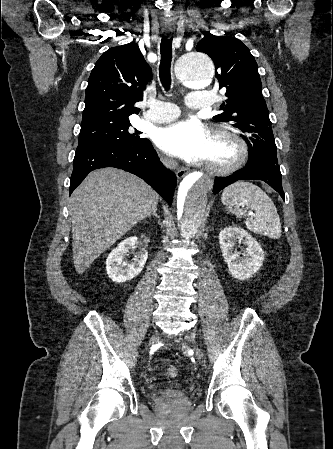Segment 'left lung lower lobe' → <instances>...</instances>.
<instances>
[{
    "instance_id": "obj_1",
    "label": "left lung lower lobe",
    "mask_w": 333,
    "mask_h": 449,
    "mask_svg": "<svg viewBox=\"0 0 333 449\" xmlns=\"http://www.w3.org/2000/svg\"><path fill=\"white\" fill-rule=\"evenodd\" d=\"M262 180L275 189L283 199L281 172L278 165H246L243 169L227 177H216L213 192L217 194L226 186L238 180Z\"/></svg>"
}]
</instances>
